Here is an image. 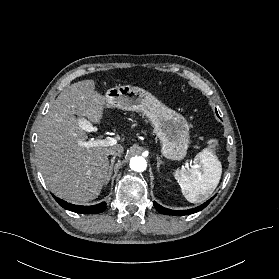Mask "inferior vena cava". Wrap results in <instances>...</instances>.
Masks as SVG:
<instances>
[{"label":"inferior vena cava","instance_id":"602c4592","mask_svg":"<svg viewBox=\"0 0 279 279\" xmlns=\"http://www.w3.org/2000/svg\"><path fill=\"white\" fill-rule=\"evenodd\" d=\"M109 154L114 155V156H117V155L120 156L123 154V147H117V148L111 149Z\"/></svg>","mask_w":279,"mask_h":279}]
</instances>
